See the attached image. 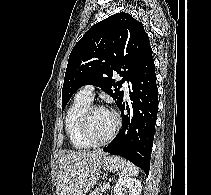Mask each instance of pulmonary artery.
Instances as JSON below:
<instances>
[{
    "mask_svg": "<svg viewBox=\"0 0 211 195\" xmlns=\"http://www.w3.org/2000/svg\"><path fill=\"white\" fill-rule=\"evenodd\" d=\"M128 86H129V83L128 82H125L123 84V88H124V92H125V95L128 96ZM79 95L89 99V100H92L93 99V86L91 85H86L84 86L82 89H80Z\"/></svg>",
    "mask_w": 211,
    "mask_h": 195,
    "instance_id": "e3ab8cb5",
    "label": "pulmonary artery"
}]
</instances>
